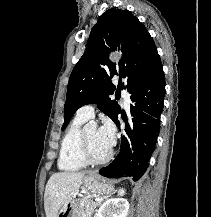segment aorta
Here are the masks:
<instances>
[{"label": "aorta", "instance_id": "762f6f07", "mask_svg": "<svg viewBox=\"0 0 211 217\" xmlns=\"http://www.w3.org/2000/svg\"><path fill=\"white\" fill-rule=\"evenodd\" d=\"M117 58H118V57H115V56H114V57H112V60H117Z\"/></svg>", "mask_w": 211, "mask_h": 217}]
</instances>
